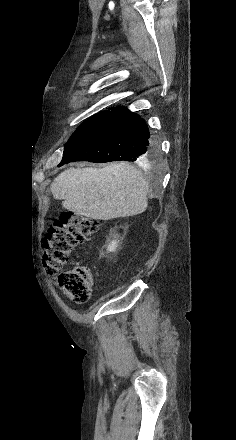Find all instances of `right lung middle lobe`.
I'll use <instances>...</instances> for the list:
<instances>
[{"label":"right lung middle lobe","mask_w":236,"mask_h":440,"mask_svg":"<svg viewBox=\"0 0 236 440\" xmlns=\"http://www.w3.org/2000/svg\"><path fill=\"white\" fill-rule=\"evenodd\" d=\"M110 111H103L100 114H98L97 116H94L93 118L87 120L85 123H83L73 134L72 136L69 138L68 142L73 139L74 137H76L78 134H80L81 132L85 131L86 129L90 128L93 124H95L98 120H100L103 116H105L107 113H109ZM158 159L157 156V152L156 151H151L144 159H143V164H149V163H155Z\"/></svg>","instance_id":"1"}]
</instances>
